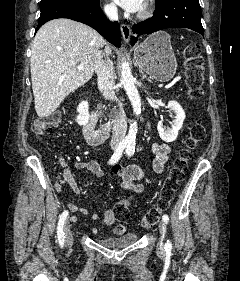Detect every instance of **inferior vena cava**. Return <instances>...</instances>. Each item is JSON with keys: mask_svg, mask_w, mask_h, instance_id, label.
<instances>
[{"mask_svg": "<svg viewBox=\"0 0 240 281\" xmlns=\"http://www.w3.org/2000/svg\"><path fill=\"white\" fill-rule=\"evenodd\" d=\"M107 17L111 21L118 20L117 7L114 5H108L104 9ZM106 55H109L108 49H105ZM95 71L98 77V86L106 100H116L114 93V66L113 63L107 58L103 60V53L99 51L95 61ZM110 118L112 120V139L111 144H118L121 142L126 134L127 124L126 115L122 108H113L110 112Z\"/></svg>", "mask_w": 240, "mask_h": 281, "instance_id": "inferior-vena-cava-1", "label": "inferior vena cava"}]
</instances>
